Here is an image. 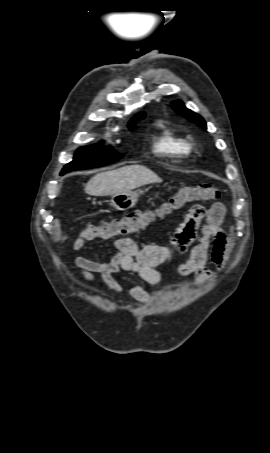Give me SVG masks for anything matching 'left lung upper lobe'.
Returning a JSON list of instances; mask_svg holds the SVG:
<instances>
[{"mask_svg":"<svg viewBox=\"0 0 270 453\" xmlns=\"http://www.w3.org/2000/svg\"><path fill=\"white\" fill-rule=\"evenodd\" d=\"M172 108L181 116H183L189 120H192V121L198 123L199 125L203 126L204 128H206V122L204 121V119L200 115L187 109L181 101L173 102Z\"/></svg>","mask_w":270,"mask_h":453,"instance_id":"obj_1","label":"left lung upper lobe"}]
</instances>
